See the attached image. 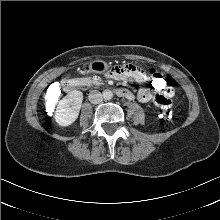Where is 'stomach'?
<instances>
[{
	"label": "stomach",
	"instance_id": "0dacf381",
	"mask_svg": "<svg viewBox=\"0 0 220 220\" xmlns=\"http://www.w3.org/2000/svg\"><path fill=\"white\" fill-rule=\"evenodd\" d=\"M108 64L105 61L102 60H96L89 64L87 67V71L91 73H104L107 69Z\"/></svg>",
	"mask_w": 220,
	"mask_h": 220
}]
</instances>
